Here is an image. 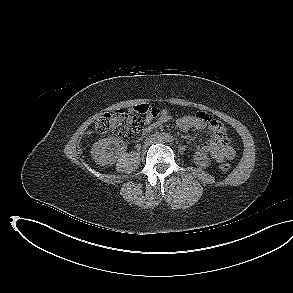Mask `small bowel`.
Instances as JSON below:
<instances>
[{"mask_svg":"<svg viewBox=\"0 0 293 293\" xmlns=\"http://www.w3.org/2000/svg\"><path fill=\"white\" fill-rule=\"evenodd\" d=\"M134 111L145 115V123L147 126L143 129L144 133L171 119L167 110L159 109L149 104L137 105L134 107ZM177 125L184 132L192 128L198 130L208 129L211 132V138L201 143L197 147V152H207L217 162L234 158L235 151L230 138L226 134L225 128L208 113L200 111L194 116L185 115L177 120Z\"/></svg>","mask_w":293,"mask_h":293,"instance_id":"obj_1","label":"small bowel"}]
</instances>
